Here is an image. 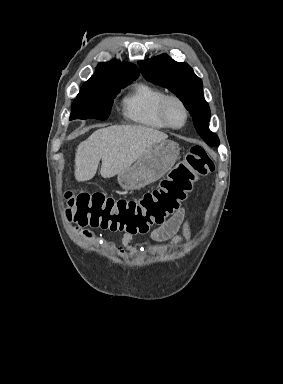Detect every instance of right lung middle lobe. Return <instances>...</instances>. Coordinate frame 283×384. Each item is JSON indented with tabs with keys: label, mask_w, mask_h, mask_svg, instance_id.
Wrapping results in <instances>:
<instances>
[{
	"label": "right lung middle lobe",
	"mask_w": 283,
	"mask_h": 384,
	"mask_svg": "<svg viewBox=\"0 0 283 384\" xmlns=\"http://www.w3.org/2000/svg\"><path fill=\"white\" fill-rule=\"evenodd\" d=\"M131 82L105 84L81 89L71 109L72 119H99L109 117L113 99Z\"/></svg>",
	"instance_id": "obj_1"
}]
</instances>
